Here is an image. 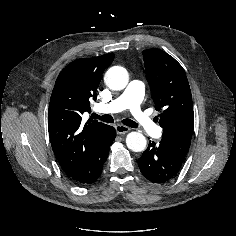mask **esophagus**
Returning <instances> with one entry per match:
<instances>
[{"label": "esophagus", "instance_id": "esophagus-1", "mask_svg": "<svg viewBox=\"0 0 236 236\" xmlns=\"http://www.w3.org/2000/svg\"><path fill=\"white\" fill-rule=\"evenodd\" d=\"M115 129L117 134H125L130 131V128L124 125H116Z\"/></svg>", "mask_w": 236, "mask_h": 236}]
</instances>
